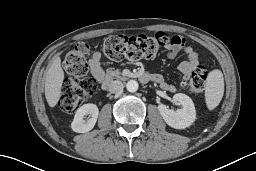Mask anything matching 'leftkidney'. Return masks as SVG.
Here are the masks:
<instances>
[{"instance_id":"left-kidney-1","label":"left kidney","mask_w":256,"mask_h":171,"mask_svg":"<svg viewBox=\"0 0 256 171\" xmlns=\"http://www.w3.org/2000/svg\"><path fill=\"white\" fill-rule=\"evenodd\" d=\"M173 101L181 105L182 108L174 111L166 105H158V110L164 121L175 129H185L191 126L196 118V110L192 99L183 93H177L173 96Z\"/></svg>"}]
</instances>
